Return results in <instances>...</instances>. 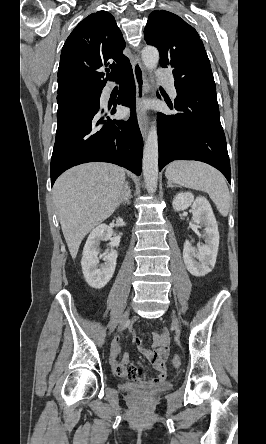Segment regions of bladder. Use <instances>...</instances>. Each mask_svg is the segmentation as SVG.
Wrapping results in <instances>:
<instances>
[{"instance_id": "bladder-1", "label": "bladder", "mask_w": 266, "mask_h": 444, "mask_svg": "<svg viewBox=\"0 0 266 444\" xmlns=\"http://www.w3.org/2000/svg\"><path fill=\"white\" fill-rule=\"evenodd\" d=\"M172 389V384L163 383L155 386L142 385L135 382H126L124 390L127 393H132L138 396H150L157 393L168 392Z\"/></svg>"}]
</instances>
